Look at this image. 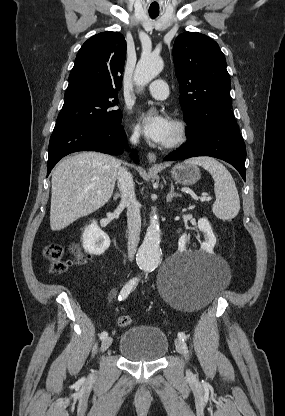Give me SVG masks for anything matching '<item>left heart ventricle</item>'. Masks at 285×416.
<instances>
[{
	"mask_svg": "<svg viewBox=\"0 0 285 416\" xmlns=\"http://www.w3.org/2000/svg\"><path fill=\"white\" fill-rule=\"evenodd\" d=\"M172 136H173V129H172L171 136L169 137V139L167 140V142H169V141L171 140ZM167 142H166V143H167Z\"/></svg>",
	"mask_w": 285,
	"mask_h": 416,
	"instance_id": "b2bd125f",
	"label": "left heart ventricle"
}]
</instances>
